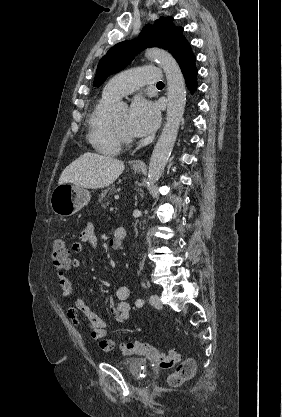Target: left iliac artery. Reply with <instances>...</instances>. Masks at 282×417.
I'll list each match as a JSON object with an SVG mask.
<instances>
[{"mask_svg":"<svg viewBox=\"0 0 282 417\" xmlns=\"http://www.w3.org/2000/svg\"><path fill=\"white\" fill-rule=\"evenodd\" d=\"M144 304V300H142V299H138L137 301H136V306L137 307H142V305Z\"/></svg>","mask_w":282,"mask_h":417,"instance_id":"left-iliac-artery-1","label":"left iliac artery"}]
</instances>
